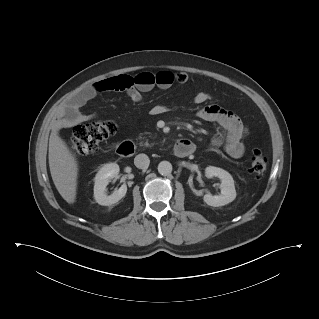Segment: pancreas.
I'll return each instance as SVG.
<instances>
[{"instance_id":"obj_1","label":"pancreas","mask_w":319,"mask_h":319,"mask_svg":"<svg viewBox=\"0 0 319 319\" xmlns=\"http://www.w3.org/2000/svg\"><path fill=\"white\" fill-rule=\"evenodd\" d=\"M144 146L150 147L151 145L148 143V141H146V142L144 143Z\"/></svg>"}]
</instances>
